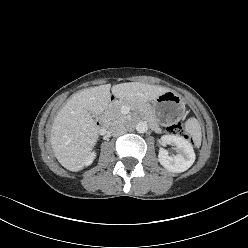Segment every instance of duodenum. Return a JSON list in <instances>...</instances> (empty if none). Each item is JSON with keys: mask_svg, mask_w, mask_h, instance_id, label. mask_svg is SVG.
Returning <instances> with one entry per match:
<instances>
[{"mask_svg": "<svg viewBox=\"0 0 248 248\" xmlns=\"http://www.w3.org/2000/svg\"><path fill=\"white\" fill-rule=\"evenodd\" d=\"M116 98L114 95L111 96L110 100L114 101ZM105 124H106V118L105 116H100L97 121H96V125L98 127V129L104 133L105 132Z\"/></svg>", "mask_w": 248, "mask_h": 248, "instance_id": "duodenum-1", "label": "duodenum"}]
</instances>
